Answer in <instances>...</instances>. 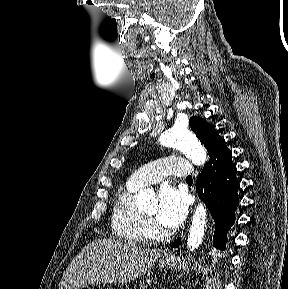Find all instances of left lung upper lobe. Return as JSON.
<instances>
[{"instance_id": "5c2ea615", "label": "left lung upper lobe", "mask_w": 288, "mask_h": 289, "mask_svg": "<svg viewBox=\"0 0 288 289\" xmlns=\"http://www.w3.org/2000/svg\"><path fill=\"white\" fill-rule=\"evenodd\" d=\"M189 125L201 143L205 146L210 156L217 144L223 138L217 134L216 129L213 126L200 117H191Z\"/></svg>"}]
</instances>
